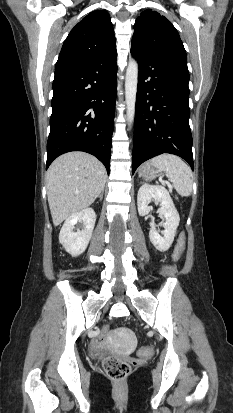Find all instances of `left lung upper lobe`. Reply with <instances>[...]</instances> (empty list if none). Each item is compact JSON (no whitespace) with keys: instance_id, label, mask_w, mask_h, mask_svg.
Returning a JSON list of instances; mask_svg holds the SVG:
<instances>
[{"instance_id":"obj_1","label":"left lung upper lobe","mask_w":233,"mask_h":413,"mask_svg":"<svg viewBox=\"0 0 233 413\" xmlns=\"http://www.w3.org/2000/svg\"><path fill=\"white\" fill-rule=\"evenodd\" d=\"M131 47L171 61L188 71L186 52L178 31L156 11L147 9L136 19Z\"/></svg>"}]
</instances>
